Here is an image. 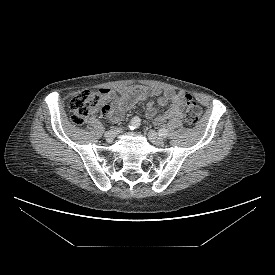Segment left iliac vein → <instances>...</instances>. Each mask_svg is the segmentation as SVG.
Here are the masks:
<instances>
[{
    "instance_id": "left-iliac-vein-1",
    "label": "left iliac vein",
    "mask_w": 275,
    "mask_h": 275,
    "mask_svg": "<svg viewBox=\"0 0 275 275\" xmlns=\"http://www.w3.org/2000/svg\"><path fill=\"white\" fill-rule=\"evenodd\" d=\"M148 138L149 140L155 144V145H163L164 144V139L159 136L155 131L150 130L148 132Z\"/></svg>"
}]
</instances>
